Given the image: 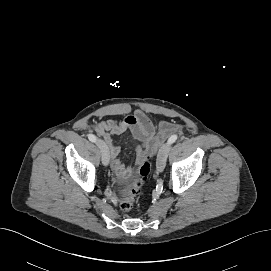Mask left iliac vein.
Here are the masks:
<instances>
[{"mask_svg":"<svg viewBox=\"0 0 271 271\" xmlns=\"http://www.w3.org/2000/svg\"><path fill=\"white\" fill-rule=\"evenodd\" d=\"M169 149L170 145L164 144L158 151L156 160V168L158 172H163L165 169Z\"/></svg>","mask_w":271,"mask_h":271,"instance_id":"1","label":"left iliac vein"}]
</instances>
